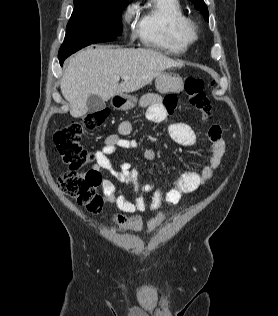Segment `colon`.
Masks as SVG:
<instances>
[{"label":"colon","instance_id":"5ec220e1","mask_svg":"<svg viewBox=\"0 0 278 316\" xmlns=\"http://www.w3.org/2000/svg\"><path fill=\"white\" fill-rule=\"evenodd\" d=\"M204 86L205 83L200 78L190 77L185 81L189 103L200 111L202 117L208 118L211 104L204 92ZM106 118L105 111L87 114L82 122H73L58 129L53 135L57 151L69 168L58 178L61 191L95 214L100 213L103 208V199L98 193L101 175L93 170L82 171L94 159V153L82 145L81 139L84 130L100 127Z\"/></svg>","mask_w":278,"mask_h":316}]
</instances>
